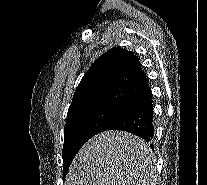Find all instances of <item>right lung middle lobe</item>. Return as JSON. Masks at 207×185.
Returning <instances> with one entry per match:
<instances>
[{
  "label": "right lung middle lobe",
  "mask_w": 207,
  "mask_h": 185,
  "mask_svg": "<svg viewBox=\"0 0 207 185\" xmlns=\"http://www.w3.org/2000/svg\"><path fill=\"white\" fill-rule=\"evenodd\" d=\"M121 111L119 108L99 106L82 110L67 117L62 152L64 177L83 144L94 135L105 131Z\"/></svg>",
  "instance_id": "obj_1"
}]
</instances>
